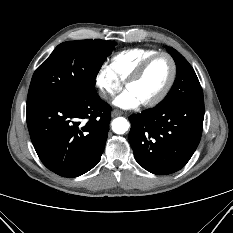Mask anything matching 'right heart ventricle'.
Returning <instances> with one entry per match:
<instances>
[{
  "instance_id": "obj_1",
  "label": "right heart ventricle",
  "mask_w": 233,
  "mask_h": 233,
  "mask_svg": "<svg viewBox=\"0 0 233 233\" xmlns=\"http://www.w3.org/2000/svg\"><path fill=\"white\" fill-rule=\"evenodd\" d=\"M156 53L157 50L148 48L125 50L113 56L108 67L114 76L124 83L144 60Z\"/></svg>"
}]
</instances>
